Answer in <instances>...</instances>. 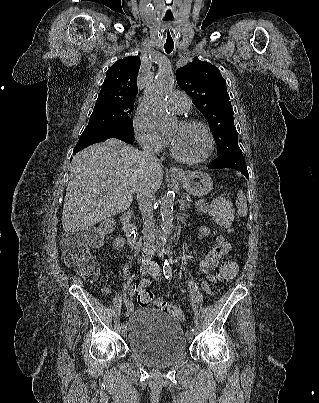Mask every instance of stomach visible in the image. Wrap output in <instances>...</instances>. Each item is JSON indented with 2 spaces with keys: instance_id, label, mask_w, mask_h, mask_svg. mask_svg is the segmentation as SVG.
<instances>
[{
  "instance_id": "1",
  "label": "stomach",
  "mask_w": 319,
  "mask_h": 403,
  "mask_svg": "<svg viewBox=\"0 0 319 403\" xmlns=\"http://www.w3.org/2000/svg\"><path fill=\"white\" fill-rule=\"evenodd\" d=\"M175 177L181 182L184 189L192 196H205L213 188L212 179L205 172H182Z\"/></svg>"
}]
</instances>
